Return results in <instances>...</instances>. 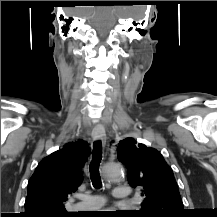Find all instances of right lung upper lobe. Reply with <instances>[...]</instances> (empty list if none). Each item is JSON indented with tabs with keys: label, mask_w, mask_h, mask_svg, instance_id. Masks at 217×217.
<instances>
[{
	"label": "right lung upper lobe",
	"mask_w": 217,
	"mask_h": 217,
	"mask_svg": "<svg viewBox=\"0 0 217 217\" xmlns=\"http://www.w3.org/2000/svg\"><path fill=\"white\" fill-rule=\"evenodd\" d=\"M89 153L87 142L79 139L44 158L29 180L23 217L74 215L64 205L82 183V166Z\"/></svg>",
	"instance_id": "cb5924a9"
}]
</instances>
